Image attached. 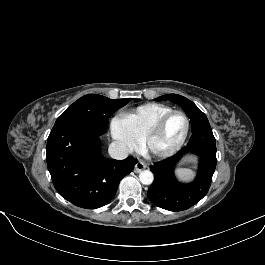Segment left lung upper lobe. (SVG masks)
Instances as JSON below:
<instances>
[{
	"instance_id": "1",
	"label": "left lung upper lobe",
	"mask_w": 265,
	"mask_h": 265,
	"mask_svg": "<svg viewBox=\"0 0 265 265\" xmlns=\"http://www.w3.org/2000/svg\"><path fill=\"white\" fill-rule=\"evenodd\" d=\"M156 100H170L178 104L190 118L192 130L204 125H210L206 115L192 101L181 95L169 94L158 97Z\"/></svg>"
}]
</instances>
